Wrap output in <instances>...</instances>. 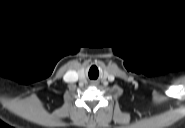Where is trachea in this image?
Masks as SVG:
<instances>
[{
	"label": "trachea",
	"instance_id": "1",
	"mask_svg": "<svg viewBox=\"0 0 185 128\" xmlns=\"http://www.w3.org/2000/svg\"><path fill=\"white\" fill-rule=\"evenodd\" d=\"M89 78L90 79H97L98 76H99V70L96 66H92L90 69H89Z\"/></svg>",
	"mask_w": 185,
	"mask_h": 128
}]
</instances>
